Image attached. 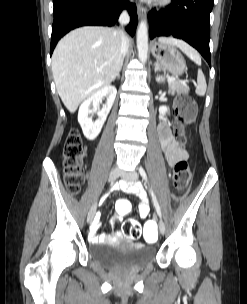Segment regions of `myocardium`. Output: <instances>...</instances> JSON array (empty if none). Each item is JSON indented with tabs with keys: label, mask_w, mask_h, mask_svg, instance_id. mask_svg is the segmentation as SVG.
Returning <instances> with one entry per match:
<instances>
[{
	"label": "myocardium",
	"mask_w": 247,
	"mask_h": 304,
	"mask_svg": "<svg viewBox=\"0 0 247 304\" xmlns=\"http://www.w3.org/2000/svg\"><path fill=\"white\" fill-rule=\"evenodd\" d=\"M172 3V0H154V5L159 8L168 7Z\"/></svg>",
	"instance_id": "f54148a6"
}]
</instances>
